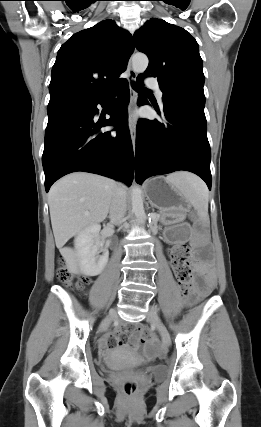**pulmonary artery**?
I'll list each match as a JSON object with an SVG mask.
<instances>
[{
  "label": "pulmonary artery",
  "instance_id": "1",
  "mask_svg": "<svg viewBox=\"0 0 261 427\" xmlns=\"http://www.w3.org/2000/svg\"><path fill=\"white\" fill-rule=\"evenodd\" d=\"M146 86H148V87H150V88H152V89L155 90L157 99L160 102V104H162L163 93H162V91H161V89L159 87L158 82L155 79L149 78V79L146 80Z\"/></svg>",
  "mask_w": 261,
  "mask_h": 427
}]
</instances>
